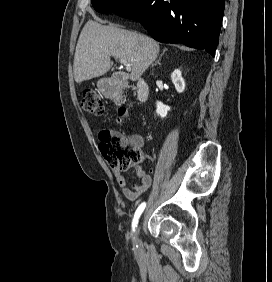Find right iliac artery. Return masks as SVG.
Instances as JSON below:
<instances>
[{
  "mask_svg": "<svg viewBox=\"0 0 272 282\" xmlns=\"http://www.w3.org/2000/svg\"><path fill=\"white\" fill-rule=\"evenodd\" d=\"M146 207V203L143 202L136 210L135 212V215H134V218H133V222H132V228H133V231L135 230V227L137 226V223H138V219L140 217V215L142 214L143 210L145 209Z\"/></svg>",
  "mask_w": 272,
  "mask_h": 282,
  "instance_id": "82829eb1",
  "label": "right iliac artery"
}]
</instances>
